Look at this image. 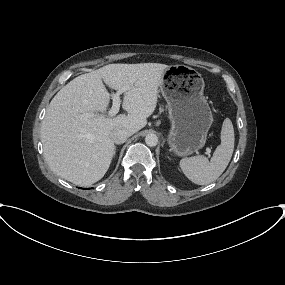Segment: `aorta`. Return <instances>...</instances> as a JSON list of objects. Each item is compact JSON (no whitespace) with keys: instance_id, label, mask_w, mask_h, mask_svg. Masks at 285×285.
Instances as JSON below:
<instances>
[{"instance_id":"aorta-1","label":"aorta","mask_w":285,"mask_h":285,"mask_svg":"<svg viewBox=\"0 0 285 285\" xmlns=\"http://www.w3.org/2000/svg\"><path fill=\"white\" fill-rule=\"evenodd\" d=\"M145 143L150 146V147H154L157 145L158 143V137L155 134H148L145 137Z\"/></svg>"}]
</instances>
